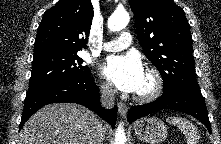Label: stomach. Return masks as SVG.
<instances>
[{
  "mask_svg": "<svg viewBox=\"0 0 221 144\" xmlns=\"http://www.w3.org/2000/svg\"><path fill=\"white\" fill-rule=\"evenodd\" d=\"M134 133L139 140L148 144L162 143L168 135L165 123L157 117L141 120L134 127Z\"/></svg>",
  "mask_w": 221,
  "mask_h": 144,
  "instance_id": "0dacf381",
  "label": "stomach"
}]
</instances>
